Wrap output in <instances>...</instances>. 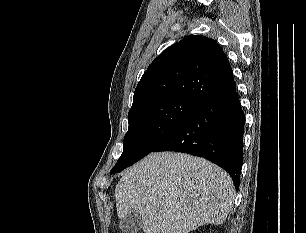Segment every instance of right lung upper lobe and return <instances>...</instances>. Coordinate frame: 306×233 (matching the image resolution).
I'll return each mask as SVG.
<instances>
[{"label": "right lung upper lobe", "mask_w": 306, "mask_h": 233, "mask_svg": "<svg viewBox=\"0 0 306 233\" xmlns=\"http://www.w3.org/2000/svg\"><path fill=\"white\" fill-rule=\"evenodd\" d=\"M233 88L232 68L218 43L189 35L149 65L135 89L130 111L172 97L203 105Z\"/></svg>", "instance_id": "obj_1"}]
</instances>
